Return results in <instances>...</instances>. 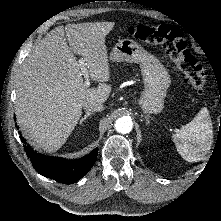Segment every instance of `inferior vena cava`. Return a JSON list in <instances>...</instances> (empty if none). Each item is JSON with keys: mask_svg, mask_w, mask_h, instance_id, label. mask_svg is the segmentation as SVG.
<instances>
[{"mask_svg": "<svg viewBox=\"0 0 221 221\" xmlns=\"http://www.w3.org/2000/svg\"><path fill=\"white\" fill-rule=\"evenodd\" d=\"M84 109L88 112H99L104 110V106L100 101L90 100L84 104Z\"/></svg>", "mask_w": 221, "mask_h": 221, "instance_id": "obj_1", "label": "inferior vena cava"}]
</instances>
